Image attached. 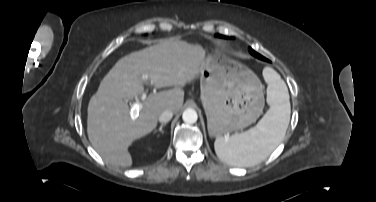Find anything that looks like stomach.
<instances>
[{
    "label": "stomach",
    "mask_w": 376,
    "mask_h": 202,
    "mask_svg": "<svg viewBox=\"0 0 376 202\" xmlns=\"http://www.w3.org/2000/svg\"><path fill=\"white\" fill-rule=\"evenodd\" d=\"M201 102L211 136L243 129L264 107L263 87L256 74L222 52H208L199 68Z\"/></svg>",
    "instance_id": "0dacf381"
}]
</instances>
